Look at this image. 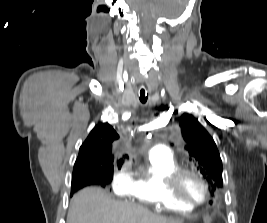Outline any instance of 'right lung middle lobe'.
<instances>
[{"mask_svg":"<svg viewBox=\"0 0 267 223\" xmlns=\"http://www.w3.org/2000/svg\"><path fill=\"white\" fill-rule=\"evenodd\" d=\"M113 170H114V167H109L107 168L105 171H104V176L107 177V178H113Z\"/></svg>","mask_w":267,"mask_h":223,"instance_id":"right-lung-middle-lobe-1","label":"right lung middle lobe"}]
</instances>
